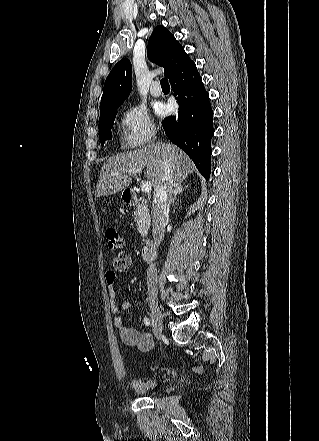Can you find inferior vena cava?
Returning <instances> with one entry per match:
<instances>
[{"instance_id":"obj_1","label":"inferior vena cava","mask_w":319,"mask_h":441,"mask_svg":"<svg viewBox=\"0 0 319 441\" xmlns=\"http://www.w3.org/2000/svg\"><path fill=\"white\" fill-rule=\"evenodd\" d=\"M167 151L171 150L170 145H162ZM163 174L160 186L155 190L152 205V235L156 247H159L164 237L165 223L168 219L169 206L173 193V180L171 177V162L169 159H163ZM147 289L150 297L157 296V269L155 264H151L147 269Z\"/></svg>"}]
</instances>
